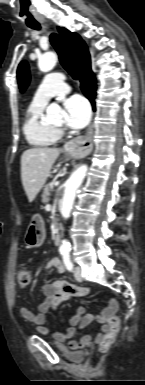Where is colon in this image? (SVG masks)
Here are the masks:
<instances>
[{
  "label": "colon",
  "mask_w": 145,
  "mask_h": 385,
  "mask_svg": "<svg viewBox=\"0 0 145 385\" xmlns=\"http://www.w3.org/2000/svg\"><path fill=\"white\" fill-rule=\"evenodd\" d=\"M15 281L17 285L24 289L28 287L32 280L31 270L24 265H20L15 269L14 273ZM60 290L68 294H78L79 289L74 285L61 284L59 286ZM118 306L110 305L107 309L109 311L108 315V331L104 334L100 341V346L102 349H107L114 342L119 330H120V317L116 313Z\"/></svg>",
  "instance_id": "colon-1"
}]
</instances>
